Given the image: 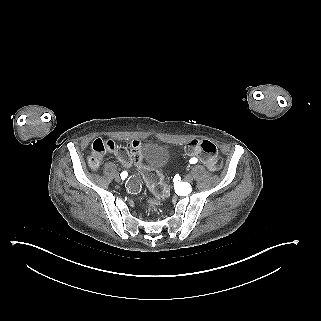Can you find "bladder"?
Listing matches in <instances>:
<instances>
[{
	"mask_svg": "<svg viewBox=\"0 0 321 321\" xmlns=\"http://www.w3.org/2000/svg\"><path fill=\"white\" fill-rule=\"evenodd\" d=\"M138 159L144 166L159 170L168 161V151L154 144H144L138 149Z\"/></svg>",
	"mask_w": 321,
	"mask_h": 321,
	"instance_id": "bladder-1",
	"label": "bladder"
}]
</instances>
